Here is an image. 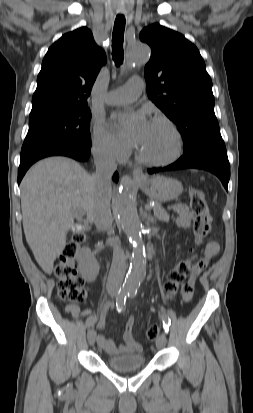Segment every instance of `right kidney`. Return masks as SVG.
<instances>
[{"label": "right kidney", "instance_id": "ca27d5eb", "mask_svg": "<svg viewBox=\"0 0 253 413\" xmlns=\"http://www.w3.org/2000/svg\"><path fill=\"white\" fill-rule=\"evenodd\" d=\"M79 270L87 281H94L99 273V264L89 249H82L77 257Z\"/></svg>", "mask_w": 253, "mask_h": 413}]
</instances>
